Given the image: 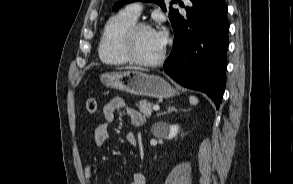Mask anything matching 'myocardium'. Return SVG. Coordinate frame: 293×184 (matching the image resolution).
Segmentation results:
<instances>
[{
	"mask_svg": "<svg viewBox=\"0 0 293 184\" xmlns=\"http://www.w3.org/2000/svg\"><path fill=\"white\" fill-rule=\"evenodd\" d=\"M141 29H150L153 30V28L146 22H135L133 25H131L127 31L124 34L123 41H122V48L123 52L126 55V57L129 59L130 62L141 65V66H146V67H152L160 64L164 58L166 51L163 48L159 56L152 60H143L139 58L134 49V40L137 32Z\"/></svg>",
	"mask_w": 293,
	"mask_h": 184,
	"instance_id": "obj_1",
	"label": "myocardium"
}]
</instances>
